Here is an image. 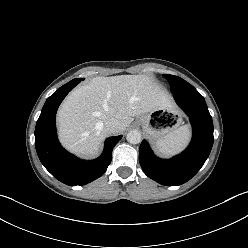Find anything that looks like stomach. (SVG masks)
Returning a JSON list of instances; mask_svg holds the SVG:
<instances>
[{"label": "stomach", "instance_id": "stomach-1", "mask_svg": "<svg viewBox=\"0 0 248 248\" xmlns=\"http://www.w3.org/2000/svg\"><path fill=\"white\" fill-rule=\"evenodd\" d=\"M137 123L142 126L143 132L148 138L156 140L176 129L180 124V119L173 110L160 108L140 115Z\"/></svg>", "mask_w": 248, "mask_h": 248}]
</instances>
